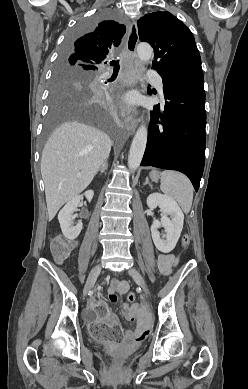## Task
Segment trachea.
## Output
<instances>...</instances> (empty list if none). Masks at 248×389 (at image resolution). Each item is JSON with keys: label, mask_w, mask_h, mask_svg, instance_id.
<instances>
[{"label": "trachea", "mask_w": 248, "mask_h": 389, "mask_svg": "<svg viewBox=\"0 0 248 389\" xmlns=\"http://www.w3.org/2000/svg\"><path fill=\"white\" fill-rule=\"evenodd\" d=\"M110 65L114 67V68H113V72H114V73H118V72H119V69H120L119 60H117V61H115V60L111 61V62H110Z\"/></svg>", "instance_id": "3493384b"}]
</instances>
